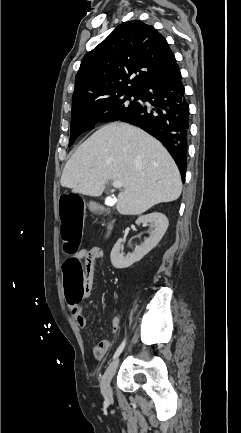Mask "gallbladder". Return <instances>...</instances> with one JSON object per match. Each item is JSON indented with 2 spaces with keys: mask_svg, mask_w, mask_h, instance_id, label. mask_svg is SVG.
Listing matches in <instances>:
<instances>
[{
  "mask_svg": "<svg viewBox=\"0 0 241 433\" xmlns=\"http://www.w3.org/2000/svg\"><path fill=\"white\" fill-rule=\"evenodd\" d=\"M90 208L93 211H100L101 210L100 207H99V205L96 202H91L90 203Z\"/></svg>",
  "mask_w": 241,
  "mask_h": 433,
  "instance_id": "bac80fb5",
  "label": "gallbladder"
}]
</instances>
